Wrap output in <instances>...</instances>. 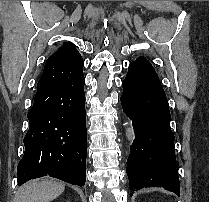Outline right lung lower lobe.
<instances>
[{
    "mask_svg": "<svg viewBox=\"0 0 209 202\" xmlns=\"http://www.w3.org/2000/svg\"><path fill=\"white\" fill-rule=\"evenodd\" d=\"M65 57H49L28 112L25 152L17 167L18 185L49 175L73 185L86 181L85 78L60 69Z\"/></svg>",
    "mask_w": 209,
    "mask_h": 202,
    "instance_id": "obj_1",
    "label": "right lung lower lobe"
}]
</instances>
